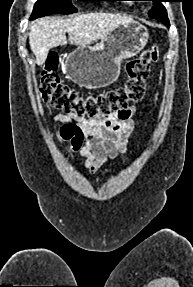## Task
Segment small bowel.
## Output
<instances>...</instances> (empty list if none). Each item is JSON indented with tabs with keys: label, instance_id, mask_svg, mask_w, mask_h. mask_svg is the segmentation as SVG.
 Segmentation results:
<instances>
[{
	"label": "small bowel",
	"instance_id": "small-bowel-1",
	"mask_svg": "<svg viewBox=\"0 0 193 287\" xmlns=\"http://www.w3.org/2000/svg\"><path fill=\"white\" fill-rule=\"evenodd\" d=\"M142 109L134 106L114 111L101 120H85L74 113H59L53 119L57 132L73 156L85 158L84 168L97 172L107 162L114 160L128 149L130 135L135 129V118ZM80 148V150H79Z\"/></svg>",
	"mask_w": 193,
	"mask_h": 287
}]
</instances>
